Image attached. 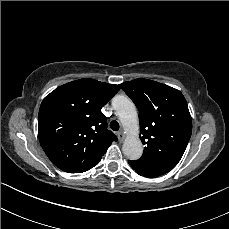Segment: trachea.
<instances>
[{
	"mask_svg": "<svg viewBox=\"0 0 229 229\" xmlns=\"http://www.w3.org/2000/svg\"><path fill=\"white\" fill-rule=\"evenodd\" d=\"M110 128L113 130V131H118L120 129V125L117 121L113 120L110 122Z\"/></svg>",
	"mask_w": 229,
	"mask_h": 229,
	"instance_id": "obj_1",
	"label": "trachea"
}]
</instances>
